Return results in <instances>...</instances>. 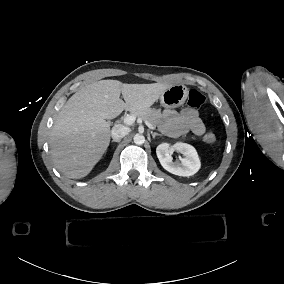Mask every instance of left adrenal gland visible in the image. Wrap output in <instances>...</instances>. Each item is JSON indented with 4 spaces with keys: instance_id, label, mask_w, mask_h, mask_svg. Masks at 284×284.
Wrapping results in <instances>:
<instances>
[{
    "instance_id": "a2214340",
    "label": "left adrenal gland",
    "mask_w": 284,
    "mask_h": 284,
    "mask_svg": "<svg viewBox=\"0 0 284 284\" xmlns=\"http://www.w3.org/2000/svg\"><path fill=\"white\" fill-rule=\"evenodd\" d=\"M151 134H152V137H153V138H155V136H162V134H159V133H156V132H154V133L151 132Z\"/></svg>"
}]
</instances>
